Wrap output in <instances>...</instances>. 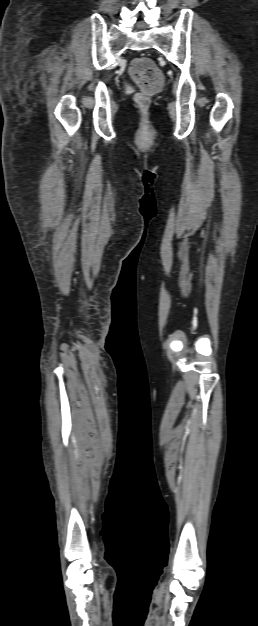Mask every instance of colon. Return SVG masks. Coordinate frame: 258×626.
<instances>
[{"label": "colon", "mask_w": 258, "mask_h": 626, "mask_svg": "<svg viewBox=\"0 0 258 626\" xmlns=\"http://www.w3.org/2000/svg\"><path fill=\"white\" fill-rule=\"evenodd\" d=\"M129 72L140 88L135 95V101L141 110H147L151 105V97L162 88L163 74L154 61L148 57L134 59Z\"/></svg>", "instance_id": "obj_1"}]
</instances>
